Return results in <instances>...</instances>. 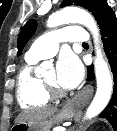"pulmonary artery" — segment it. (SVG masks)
<instances>
[{
  "instance_id": "e3ab8cb5",
  "label": "pulmonary artery",
  "mask_w": 117,
  "mask_h": 131,
  "mask_svg": "<svg viewBox=\"0 0 117 131\" xmlns=\"http://www.w3.org/2000/svg\"><path fill=\"white\" fill-rule=\"evenodd\" d=\"M87 31L80 26H69L48 32L34 41L26 53V58L40 60L54 56L61 42L86 43Z\"/></svg>"
}]
</instances>
